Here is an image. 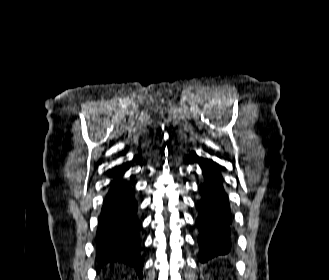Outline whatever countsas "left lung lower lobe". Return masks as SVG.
Masks as SVG:
<instances>
[{"mask_svg": "<svg viewBox=\"0 0 329 280\" xmlns=\"http://www.w3.org/2000/svg\"><path fill=\"white\" fill-rule=\"evenodd\" d=\"M202 168L205 181L199 186L202 199L197 203L199 217L196 225L199 229V259L206 262L229 252L232 220L217 165L212 160H206Z\"/></svg>", "mask_w": 329, "mask_h": 280, "instance_id": "left-lung-lower-lobe-1", "label": "left lung lower lobe"}]
</instances>
